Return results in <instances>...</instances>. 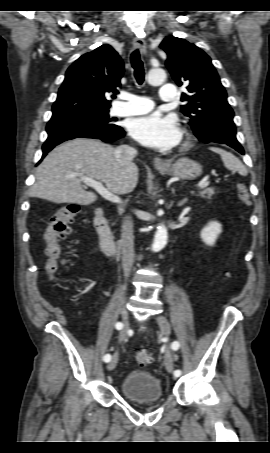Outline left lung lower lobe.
<instances>
[{
	"label": "left lung lower lobe",
	"mask_w": 270,
	"mask_h": 453,
	"mask_svg": "<svg viewBox=\"0 0 270 453\" xmlns=\"http://www.w3.org/2000/svg\"><path fill=\"white\" fill-rule=\"evenodd\" d=\"M227 145H229L230 147L234 148L235 150H237L241 154H244V150H243L242 146L239 144V142H229V143H227Z\"/></svg>",
	"instance_id": "1"
}]
</instances>
